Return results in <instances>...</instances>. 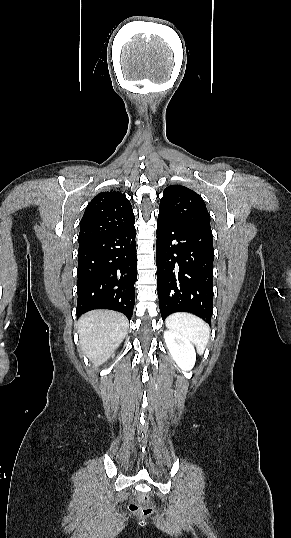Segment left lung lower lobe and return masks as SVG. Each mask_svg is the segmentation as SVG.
<instances>
[{
    "instance_id": "obj_1",
    "label": "left lung lower lobe",
    "mask_w": 291,
    "mask_h": 538,
    "mask_svg": "<svg viewBox=\"0 0 291 538\" xmlns=\"http://www.w3.org/2000/svg\"><path fill=\"white\" fill-rule=\"evenodd\" d=\"M212 231L157 220V290L162 319L179 311L193 313L209 325L213 313Z\"/></svg>"
}]
</instances>
